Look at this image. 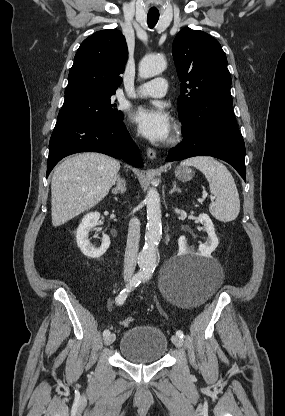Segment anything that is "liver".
I'll return each instance as SVG.
<instances>
[{
    "label": "liver",
    "mask_w": 285,
    "mask_h": 416,
    "mask_svg": "<svg viewBox=\"0 0 285 416\" xmlns=\"http://www.w3.org/2000/svg\"><path fill=\"white\" fill-rule=\"evenodd\" d=\"M119 170L117 160L94 152L64 160L52 176L53 226H62L99 204L114 186Z\"/></svg>",
    "instance_id": "obj_1"
}]
</instances>
